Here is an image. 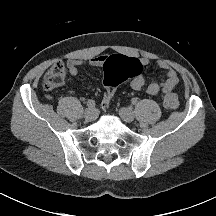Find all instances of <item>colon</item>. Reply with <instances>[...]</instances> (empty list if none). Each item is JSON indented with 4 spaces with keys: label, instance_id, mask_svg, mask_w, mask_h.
I'll return each mask as SVG.
<instances>
[{
    "label": "colon",
    "instance_id": "obj_1",
    "mask_svg": "<svg viewBox=\"0 0 216 216\" xmlns=\"http://www.w3.org/2000/svg\"><path fill=\"white\" fill-rule=\"evenodd\" d=\"M142 68L139 62L124 56H118L106 62L104 66L106 91L101 102L102 109H107L111 105L115 89L128 79L140 75ZM65 73V66L62 62L54 63L44 77V89L50 91L58 88L65 79ZM163 104L167 109L175 110L179 104L176 94L170 91L165 92Z\"/></svg>",
    "mask_w": 216,
    "mask_h": 216
}]
</instances>
